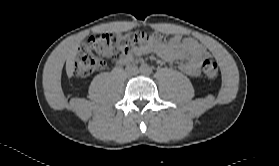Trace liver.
I'll use <instances>...</instances> for the list:
<instances>
[{"label": "liver", "mask_w": 279, "mask_h": 166, "mask_svg": "<svg viewBox=\"0 0 279 166\" xmlns=\"http://www.w3.org/2000/svg\"><path fill=\"white\" fill-rule=\"evenodd\" d=\"M77 47H78L77 45L74 46L67 54L66 73L69 78L73 76V72L75 68L74 61L77 55Z\"/></svg>", "instance_id": "6515ba94"}]
</instances>
